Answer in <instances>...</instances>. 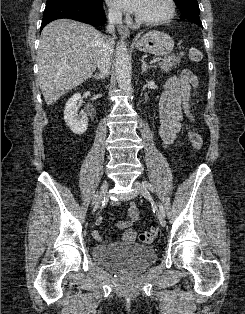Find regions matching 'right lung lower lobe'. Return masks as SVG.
Listing matches in <instances>:
<instances>
[{"label":"right lung lower lobe","mask_w":245,"mask_h":314,"mask_svg":"<svg viewBox=\"0 0 245 314\" xmlns=\"http://www.w3.org/2000/svg\"><path fill=\"white\" fill-rule=\"evenodd\" d=\"M61 18H69L93 26H101L106 21L102 3L89 5L79 2L58 1L46 4L40 29L42 30L49 22Z\"/></svg>","instance_id":"right-lung-lower-lobe-1"}]
</instances>
